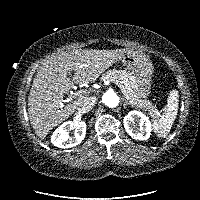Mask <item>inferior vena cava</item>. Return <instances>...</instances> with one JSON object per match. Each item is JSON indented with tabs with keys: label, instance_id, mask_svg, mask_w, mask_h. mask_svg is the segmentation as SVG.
Segmentation results:
<instances>
[{
	"label": "inferior vena cava",
	"instance_id": "inferior-vena-cava-1",
	"mask_svg": "<svg viewBox=\"0 0 200 200\" xmlns=\"http://www.w3.org/2000/svg\"><path fill=\"white\" fill-rule=\"evenodd\" d=\"M95 97H85L80 106L78 107V111L79 113H88L92 108L93 106L95 105Z\"/></svg>",
	"mask_w": 200,
	"mask_h": 200
}]
</instances>
